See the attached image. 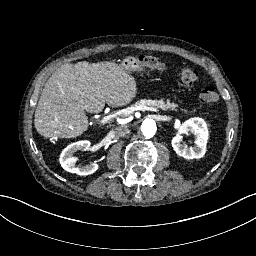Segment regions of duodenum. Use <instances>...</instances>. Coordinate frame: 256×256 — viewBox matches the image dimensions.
<instances>
[{
	"instance_id": "obj_1",
	"label": "duodenum",
	"mask_w": 256,
	"mask_h": 256,
	"mask_svg": "<svg viewBox=\"0 0 256 256\" xmlns=\"http://www.w3.org/2000/svg\"><path fill=\"white\" fill-rule=\"evenodd\" d=\"M122 67L127 72H130L132 70L148 72L150 70V63L146 60H138L134 57H127L124 60Z\"/></svg>"
}]
</instances>
